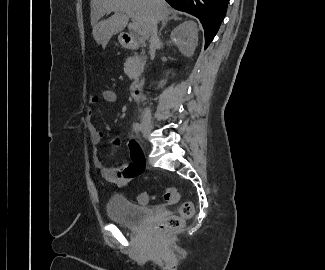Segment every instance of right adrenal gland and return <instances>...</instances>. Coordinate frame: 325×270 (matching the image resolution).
<instances>
[{
  "label": "right adrenal gland",
  "instance_id": "obj_1",
  "mask_svg": "<svg viewBox=\"0 0 325 270\" xmlns=\"http://www.w3.org/2000/svg\"><path fill=\"white\" fill-rule=\"evenodd\" d=\"M172 19H174V20H180V18H178L175 14H173L170 17H168L167 19H165L162 22V27L159 30V36H161V32H162L163 28L166 26L167 22L170 21V20H172Z\"/></svg>",
  "mask_w": 325,
  "mask_h": 270
}]
</instances>
